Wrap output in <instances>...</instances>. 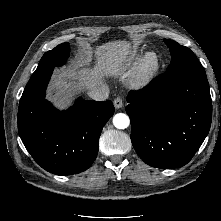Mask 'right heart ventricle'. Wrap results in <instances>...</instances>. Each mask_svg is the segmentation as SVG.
Returning a JSON list of instances; mask_svg holds the SVG:
<instances>
[{
  "instance_id": "1",
  "label": "right heart ventricle",
  "mask_w": 221,
  "mask_h": 221,
  "mask_svg": "<svg viewBox=\"0 0 221 221\" xmlns=\"http://www.w3.org/2000/svg\"><path fill=\"white\" fill-rule=\"evenodd\" d=\"M121 68H122L121 65L116 64V65H113V66H112V71L116 73V72H118Z\"/></svg>"
}]
</instances>
